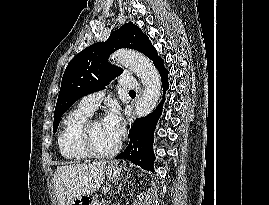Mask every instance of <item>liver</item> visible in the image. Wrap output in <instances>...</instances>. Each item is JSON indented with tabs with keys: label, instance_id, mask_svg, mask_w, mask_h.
<instances>
[{
	"label": "liver",
	"instance_id": "liver-1",
	"mask_svg": "<svg viewBox=\"0 0 269 205\" xmlns=\"http://www.w3.org/2000/svg\"><path fill=\"white\" fill-rule=\"evenodd\" d=\"M106 162L61 166L54 175L58 205H70L77 197L96 192L105 178Z\"/></svg>",
	"mask_w": 269,
	"mask_h": 205
}]
</instances>
